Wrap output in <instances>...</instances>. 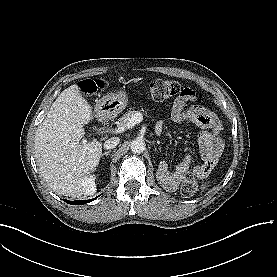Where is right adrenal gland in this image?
I'll use <instances>...</instances> for the list:
<instances>
[{
	"instance_id": "2a0ac1e0",
	"label": "right adrenal gland",
	"mask_w": 277,
	"mask_h": 277,
	"mask_svg": "<svg viewBox=\"0 0 277 277\" xmlns=\"http://www.w3.org/2000/svg\"><path fill=\"white\" fill-rule=\"evenodd\" d=\"M111 153V150H109V151H107V152H104V153H102V157H104V156H107V155H109Z\"/></svg>"
}]
</instances>
